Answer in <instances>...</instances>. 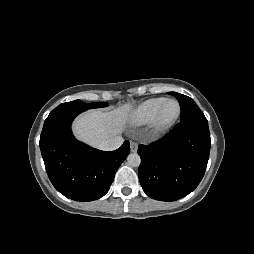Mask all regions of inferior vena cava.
<instances>
[{
    "label": "inferior vena cava",
    "instance_id": "1",
    "mask_svg": "<svg viewBox=\"0 0 254 254\" xmlns=\"http://www.w3.org/2000/svg\"><path fill=\"white\" fill-rule=\"evenodd\" d=\"M123 144V138L121 136H115L111 139L102 141L98 148L103 151H113L118 149Z\"/></svg>",
    "mask_w": 254,
    "mask_h": 254
}]
</instances>
